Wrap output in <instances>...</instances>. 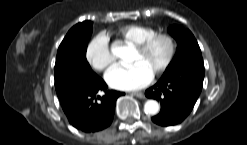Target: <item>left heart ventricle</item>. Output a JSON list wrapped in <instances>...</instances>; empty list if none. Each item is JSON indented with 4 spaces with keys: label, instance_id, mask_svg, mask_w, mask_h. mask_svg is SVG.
Wrapping results in <instances>:
<instances>
[{
    "label": "left heart ventricle",
    "instance_id": "1",
    "mask_svg": "<svg viewBox=\"0 0 247 145\" xmlns=\"http://www.w3.org/2000/svg\"><path fill=\"white\" fill-rule=\"evenodd\" d=\"M167 53V42L165 40H157L145 53H139L135 49L131 63H141L153 73L163 63Z\"/></svg>",
    "mask_w": 247,
    "mask_h": 145
}]
</instances>
